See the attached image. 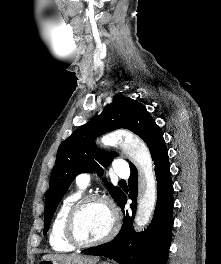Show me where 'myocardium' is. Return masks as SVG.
<instances>
[{
  "label": "myocardium",
  "mask_w": 221,
  "mask_h": 264,
  "mask_svg": "<svg viewBox=\"0 0 221 264\" xmlns=\"http://www.w3.org/2000/svg\"><path fill=\"white\" fill-rule=\"evenodd\" d=\"M98 202L105 205L111 213V227L108 233L95 241H83L77 234V219L82 208L90 203ZM119 229V215L114 205L105 197L96 194H88L80 197L69 209L64 225V233L67 241L75 247L88 248L102 245L110 241Z\"/></svg>",
  "instance_id": "obj_1"
}]
</instances>
